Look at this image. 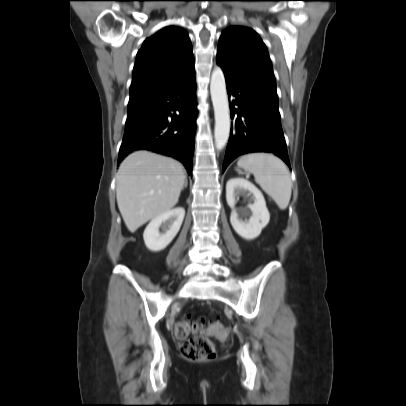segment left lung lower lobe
Returning a JSON list of instances; mask_svg holds the SVG:
<instances>
[{"instance_id": "left-lung-lower-lobe-1", "label": "left lung lower lobe", "mask_w": 406, "mask_h": 406, "mask_svg": "<svg viewBox=\"0 0 406 406\" xmlns=\"http://www.w3.org/2000/svg\"><path fill=\"white\" fill-rule=\"evenodd\" d=\"M217 63L224 71L228 97H234L230 104L231 118L236 116L231 127L223 172L236 157L252 152L273 153L290 168L276 89Z\"/></svg>"}]
</instances>
